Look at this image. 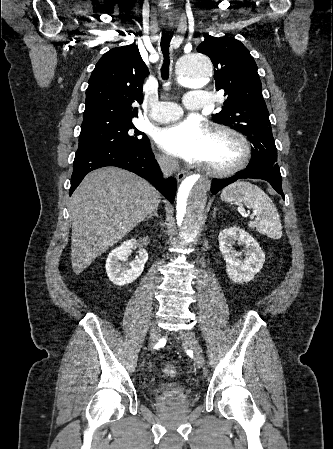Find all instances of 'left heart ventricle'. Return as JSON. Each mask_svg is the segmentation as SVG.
Wrapping results in <instances>:
<instances>
[{
	"instance_id": "b2bd125f",
	"label": "left heart ventricle",
	"mask_w": 333,
	"mask_h": 449,
	"mask_svg": "<svg viewBox=\"0 0 333 449\" xmlns=\"http://www.w3.org/2000/svg\"><path fill=\"white\" fill-rule=\"evenodd\" d=\"M238 155L236 145L230 140L210 135L207 150L203 159L204 164L221 167L231 164Z\"/></svg>"
}]
</instances>
